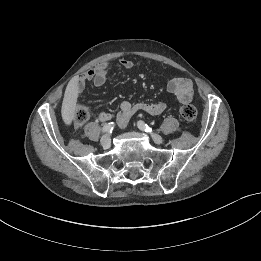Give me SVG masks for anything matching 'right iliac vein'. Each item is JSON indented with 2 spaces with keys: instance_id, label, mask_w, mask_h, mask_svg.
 Listing matches in <instances>:
<instances>
[{
  "instance_id": "right-iliac-vein-1",
  "label": "right iliac vein",
  "mask_w": 261,
  "mask_h": 261,
  "mask_svg": "<svg viewBox=\"0 0 261 261\" xmlns=\"http://www.w3.org/2000/svg\"><path fill=\"white\" fill-rule=\"evenodd\" d=\"M100 143L101 145L104 147V148H108L110 147V144H111V139H110V136L109 135H104L102 136L101 140H100Z\"/></svg>"
}]
</instances>
